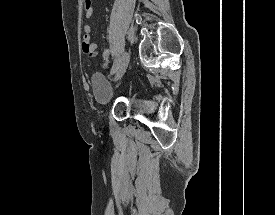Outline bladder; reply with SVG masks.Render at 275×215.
Wrapping results in <instances>:
<instances>
[{"label":"bladder","instance_id":"obj_1","mask_svg":"<svg viewBox=\"0 0 275 215\" xmlns=\"http://www.w3.org/2000/svg\"><path fill=\"white\" fill-rule=\"evenodd\" d=\"M91 86L100 105L111 103L116 98V93L110 89L109 78L100 72L92 74Z\"/></svg>","mask_w":275,"mask_h":215}]
</instances>
